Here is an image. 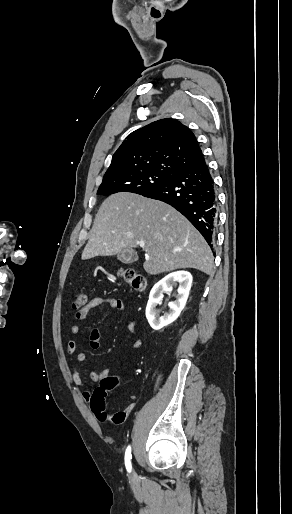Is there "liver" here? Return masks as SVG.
<instances>
[{
	"label": "liver",
	"instance_id": "1",
	"mask_svg": "<svg viewBox=\"0 0 292 514\" xmlns=\"http://www.w3.org/2000/svg\"><path fill=\"white\" fill-rule=\"evenodd\" d=\"M144 244L147 274L196 268L211 274L213 254L198 230L172 206L130 192L112 194L101 204L82 260L116 256ZM180 250V252H174Z\"/></svg>",
	"mask_w": 292,
	"mask_h": 514
}]
</instances>
